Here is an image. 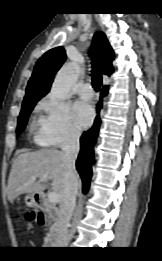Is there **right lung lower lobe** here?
Masks as SVG:
<instances>
[{"label":"right lung lower lobe","instance_id":"obj_1","mask_svg":"<svg viewBox=\"0 0 162 261\" xmlns=\"http://www.w3.org/2000/svg\"><path fill=\"white\" fill-rule=\"evenodd\" d=\"M108 88H103L101 92V99L97 105V110L100 111L102 108V97L107 93ZM100 118L96 117L94 125L91 129L84 132L81 139V150L76 161V168L81 176L83 182V192L86 193L89 189L90 179L92 176V164L94 158V145L98 136L100 127Z\"/></svg>","mask_w":162,"mask_h":261}]
</instances>
